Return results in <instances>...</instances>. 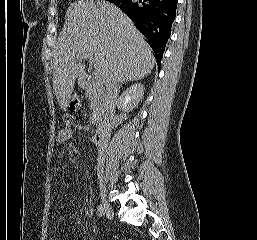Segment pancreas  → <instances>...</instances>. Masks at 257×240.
<instances>
[{"instance_id": "1", "label": "pancreas", "mask_w": 257, "mask_h": 240, "mask_svg": "<svg viewBox=\"0 0 257 240\" xmlns=\"http://www.w3.org/2000/svg\"><path fill=\"white\" fill-rule=\"evenodd\" d=\"M86 97L90 101V107L101 115L106 108L105 96L101 89H97L93 86H86Z\"/></svg>"}]
</instances>
